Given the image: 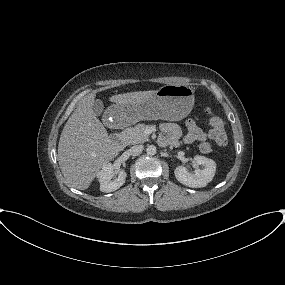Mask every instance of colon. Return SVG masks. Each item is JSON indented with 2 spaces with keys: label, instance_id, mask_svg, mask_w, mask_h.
<instances>
[{
  "label": "colon",
  "instance_id": "1",
  "mask_svg": "<svg viewBox=\"0 0 285 285\" xmlns=\"http://www.w3.org/2000/svg\"><path fill=\"white\" fill-rule=\"evenodd\" d=\"M208 114V125L210 138L219 146L226 147L228 144V136L226 133L225 121L216 113L211 110L207 111ZM199 150L202 153H209L211 146L209 143L204 142L199 145Z\"/></svg>",
  "mask_w": 285,
  "mask_h": 285
}]
</instances>
